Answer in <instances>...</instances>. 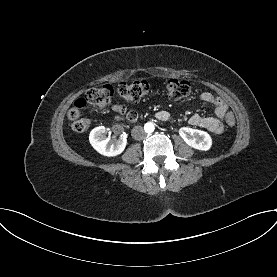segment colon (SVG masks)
<instances>
[{"mask_svg":"<svg viewBox=\"0 0 277 277\" xmlns=\"http://www.w3.org/2000/svg\"><path fill=\"white\" fill-rule=\"evenodd\" d=\"M154 89V85L146 80L133 82H122L117 86L101 85L88 90L84 98L76 100L74 106L68 112V118L73 121L72 128L75 132H85L91 125L90 118H81V112L88 104L99 108L107 107L115 94L126 101L136 102L142 100ZM190 83L184 80L170 79L166 83L168 96L173 100L181 99L190 93ZM224 121L229 126L236 123V118L232 111H227Z\"/></svg>","mask_w":277,"mask_h":277,"instance_id":"obj_1","label":"colon"}]
</instances>
